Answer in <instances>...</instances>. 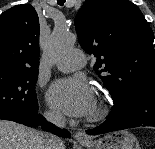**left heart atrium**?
<instances>
[{"instance_id": "39dd6f15", "label": "left heart atrium", "mask_w": 155, "mask_h": 149, "mask_svg": "<svg viewBox=\"0 0 155 149\" xmlns=\"http://www.w3.org/2000/svg\"><path fill=\"white\" fill-rule=\"evenodd\" d=\"M95 98L88 82L81 77L56 81L48 92V102L70 116L90 113Z\"/></svg>"}]
</instances>
